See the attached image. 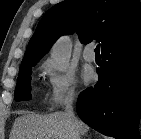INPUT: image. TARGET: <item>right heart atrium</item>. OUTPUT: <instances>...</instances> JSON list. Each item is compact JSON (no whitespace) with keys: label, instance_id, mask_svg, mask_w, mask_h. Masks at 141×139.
<instances>
[{"label":"right heart atrium","instance_id":"d8ad5b80","mask_svg":"<svg viewBox=\"0 0 141 139\" xmlns=\"http://www.w3.org/2000/svg\"><path fill=\"white\" fill-rule=\"evenodd\" d=\"M42 69L48 77L46 101L50 108L56 109L72 102L77 94V83L73 74L68 70H56L50 61H46Z\"/></svg>","mask_w":141,"mask_h":139}]
</instances>
